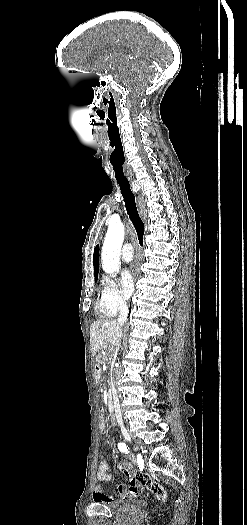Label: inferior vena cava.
Listing matches in <instances>:
<instances>
[{"label": "inferior vena cava", "mask_w": 247, "mask_h": 525, "mask_svg": "<svg viewBox=\"0 0 247 525\" xmlns=\"http://www.w3.org/2000/svg\"><path fill=\"white\" fill-rule=\"evenodd\" d=\"M119 317L117 319V323H119V325H125L126 321H127V317L129 315V307H127V303L126 301H122V303H120V307H119ZM120 347V341L119 343H117V349H119ZM116 393V391H115Z\"/></svg>", "instance_id": "obj_1"}]
</instances>
